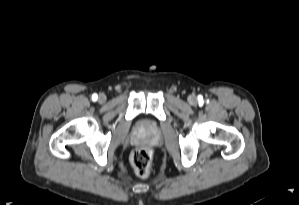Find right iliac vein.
Listing matches in <instances>:
<instances>
[{"label": "right iliac vein", "instance_id": "1", "mask_svg": "<svg viewBox=\"0 0 299 205\" xmlns=\"http://www.w3.org/2000/svg\"><path fill=\"white\" fill-rule=\"evenodd\" d=\"M98 101L100 103H104L106 101V96L104 94H100L99 98H98Z\"/></svg>", "mask_w": 299, "mask_h": 205}]
</instances>
